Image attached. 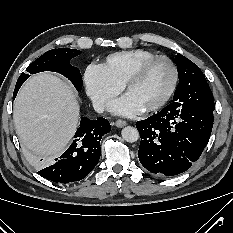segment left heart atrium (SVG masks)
Listing matches in <instances>:
<instances>
[{"label":"left heart atrium","instance_id":"obj_1","mask_svg":"<svg viewBox=\"0 0 233 233\" xmlns=\"http://www.w3.org/2000/svg\"><path fill=\"white\" fill-rule=\"evenodd\" d=\"M111 110L114 113L122 115H135L143 111V108L140 107L128 94L114 102L111 106Z\"/></svg>","mask_w":233,"mask_h":233}]
</instances>
